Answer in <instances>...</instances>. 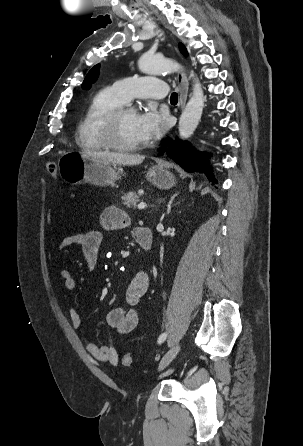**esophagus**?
I'll use <instances>...</instances> for the list:
<instances>
[{
    "label": "esophagus",
    "mask_w": 303,
    "mask_h": 446,
    "mask_svg": "<svg viewBox=\"0 0 303 446\" xmlns=\"http://www.w3.org/2000/svg\"><path fill=\"white\" fill-rule=\"evenodd\" d=\"M177 82L180 90V97H179L180 107L181 109H183L186 104L188 96V88H189L188 80L184 72L180 71L178 73Z\"/></svg>",
    "instance_id": "esophagus-1"
}]
</instances>
